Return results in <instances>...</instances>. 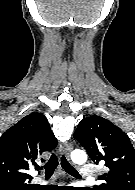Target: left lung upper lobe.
<instances>
[{"mask_svg":"<svg viewBox=\"0 0 135 190\" xmlns=\"http://www.w3.org/2000/svg\"><path fill=\"white\" fill-rule=\"evenodd\" d=\"M74 138L87 150L95 164L105 161L108 171L93 190H135V150L129 137L109 120L100 116L83 119Z\"/></svg>","mask_w":135,"mask_h":190,"instance_id":"left-lung-upper-lobe-1","label":"left lung upper lobe"}]
</instances>
